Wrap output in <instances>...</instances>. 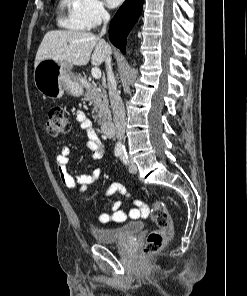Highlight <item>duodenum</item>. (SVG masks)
Wrapping results in <instances>:
<instances>
[{
	"instance_id": "410a0bca",
	"label": "duodenum",
	"mask_w": 247,
	"mask_h": 296,
	"mask_svg": "<svg viewBox=\"0 0 247 296\" xmlns=\"http://www.w3.org/2000/svg\"><path fill=\"white\" fill-rule=\"evenodd\" d=\"M100 128L102 133L107 137L114 135L115 126L112 119H105L100 122Z\"/></svg>"
}]
</instances>
